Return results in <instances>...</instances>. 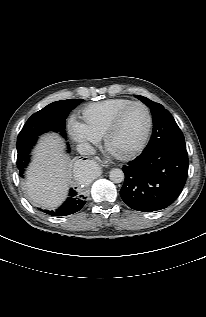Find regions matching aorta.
Instances as JSON below:
<instances>
[{
    "label": "aorta",
    "mask_w": 206,
    "mask_h": 317,
    "mask_svg": "<svg viewBox=\"0 0 206 317\" xmlns=\"http://www.w3.org/2000/svg\"><path fill=\"white\" fill-rule=\"evenodd\" d=\"M98 173L99 167L92 161L85 162L77 171L78 178L82 181H89L92 178H95ZM124 177V172L119 168L112 169L109 173V178L114 183H121L124 180Z\"/></svg>",
    "instance_id": "obj_1"
}]
</instances>
